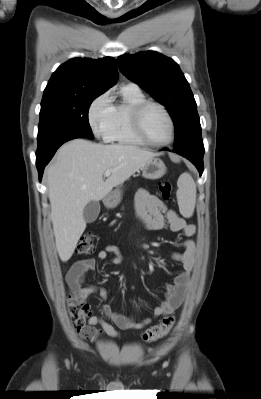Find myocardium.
Returning <instances> with one entry per match:
<instances>
[{
	"instance_id": "1",
	"label": "myocardium",
	"mask_w": 261,
	"mask_h": 399,
	"mask_svg": "<svg viewBox=\"0 0 261 399\" xmlns=\"http://www.w3.org/2000/svg\"><path fill=\"white\" fill-rule=\"evenodd\" d=\"M150 107H156L160 109L164 115L166 116L169 125H170V137L167 141L165 142H156L151 140L148 135L145 132L144 126H143V115L145 111L150 108ZM130 122H131V127L138 139H140L143 143L154 146V147H164L170 145L174 139H175V133H176V127H175V122L169 113V111L166 109L165 106L162 104L155 102V101H150V100H144L137 105H135L131 111H130Z\"/></svg>"
}]
</instances>
